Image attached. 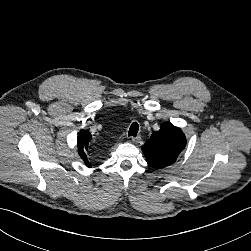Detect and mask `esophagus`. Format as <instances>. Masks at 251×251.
Listing matches in <instances>:
<instances>
[{
    "label": "esophagus",
    "instance_id": "34e87169",
    "mask_svg": "<svg viewBox=\"0 0 251 251\" xmlns=\"http://www.w3.org/2000/svg\"><path fill=\"white\" fill-rule=\"evenodd\" d=\"M140 141V136L132 137V142L133 143H138Z\"/></svg>",
    "mask_w": 251,
    "mask_h": 251
}]
</instances>
